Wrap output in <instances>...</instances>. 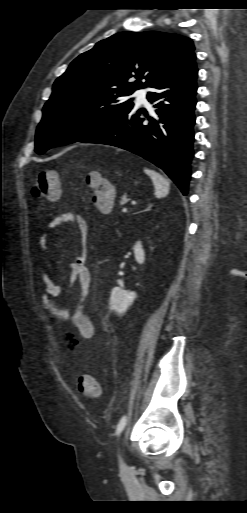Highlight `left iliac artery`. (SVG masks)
<instances>
[{
    "instance_id": "obj_1",
    "label": "left iliac artery",
    "mask_w": 247,
    "mask_h": 513,
    "mask_svg": "<svg viewBox=\"0 0 247 513\" xmlns=\"http://www.w3.org/2000/svg\"><path fill=\"white\" fill-rule=\"evenodd\" d=\"M126 421H127V417H126V415H124V416L120 419V421H119V423H118V425H117V428H116V434H117V436H119V435H120V433L123 431V429H124V427H125V425H126Z\"/></svg>"
}]
</instances>
